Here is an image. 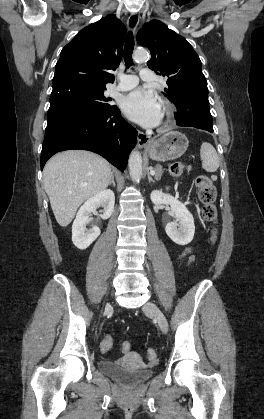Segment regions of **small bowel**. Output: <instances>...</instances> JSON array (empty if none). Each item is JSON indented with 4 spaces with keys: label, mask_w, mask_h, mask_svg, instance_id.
Wrapping results in <instances>:
<instances>
[{
    "label": "small bowel",
    "mask_w": 264,
    "mask_h": 419,
    "mask_svg": "<svg viewBox=\"0 0 264 419\" xmlns=\"http://www.w3.org/2000/svg\"><path fill=\"white\" fill-rule=\"evenodd\" d=\"M184 258H187V261H188V264H190V263H192L193 261H194V255L192 254V246H188V247H186L185 249H184V251L179 255V259H184ZM126 342H124L122 345H121V352L123 353V354H129V352H130V350H127V351H124L123 350V345L125 344Z\"/></svg>",
    "instance_id": "obj_1"
}]
</instances>
